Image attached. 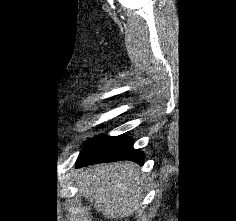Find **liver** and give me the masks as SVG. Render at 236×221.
<instances>
[{"label":"liver","instance_id":"1","mask_svg":"<svg viewBox=\"0 0 236 221\" xmlns=\"http://www.w3.org/2000/svg\"><path fill=\"white\" fill-rule=\"evenodd\" d=\"M144 178L135 164L106 163L76 172V186L107 219L132 216L143 198Z\"/></svg>","mask_w":236,"mask_h":221}]
</instances>
